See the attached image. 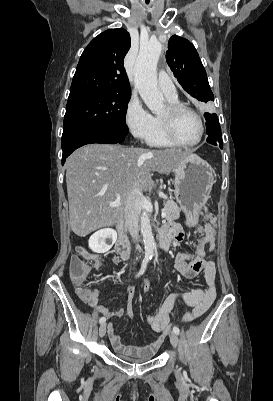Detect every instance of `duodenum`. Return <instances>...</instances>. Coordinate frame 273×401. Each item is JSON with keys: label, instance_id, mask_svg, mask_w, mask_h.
<instances>
[{"label": "duodenum", "instance_id": "410a0bca", "mask_svg": "<svg viewBox=\"0 0 273 401\" xmlns=\"http://www.w3.org/2000/svg\"><path fill=\"white\" fill-rule=\"evenodd\" d=\"M118 240L116 243L117 253L125 260L129 259L132 255V248L127 240L125 225L120 223L117 226ZM171 244V239L166 234L162 233L159 241V250L165 251Z\"/></svg>", "mask_w": 273, "mask_h": 401}]
</instances>
